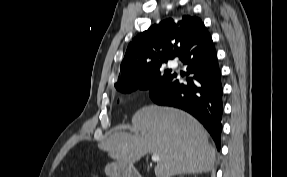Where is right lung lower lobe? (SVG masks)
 <instances>
[{
    "label": "right lung lower lobe",
    "instance_id": "1",
    "mask_svg": "<svg viewBox=\"0 0 287 177\" xmlns=\"http://www.w3.org/2000/svg\"><path fill=\"white\" fill-rule=\"evenodd\" d=\"M186 64V83H179L176 73L149 89V96L158 105L183 109L197 118L212 136L217 149L222 132V84L217 54L207 29L190 40L180 52Z\"/></svg>",
    "mask_w": 287,
    "mask_h": 177
}]
</instances>
